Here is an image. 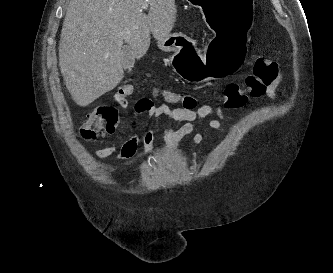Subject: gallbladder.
<instances>
[{
	"label": "gallbladder",
	"mask_w": 333,
	"mask_h": 273,
	"mask_svg": "<svg viewBox=\"0 0 333 273\" xmlns=\"http://www.w3.org/2000/svg\"><path fill=\"white\" fill-rule=\"evenodd\" d=\"M135 58L129 45L122 47V66L125 70L130 71L134 67Z\"/></svg>",
	"instance_id": "bac80fb5"
}]
</instances>
